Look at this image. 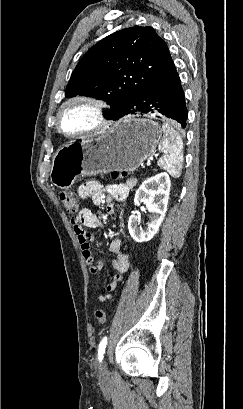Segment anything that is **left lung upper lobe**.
Returning a JSON list of instances; mask_svg holds the SVG:
<instances>
[{"instance_id":"5c2ea615","label":"left lung upper lobe","mask_w":243,"mask_h":409,"mask_svg":"<svg viewBox=\"0 0 243 409\" xmlns=\"http://www.w3.org/2000/svg\"><path fill=\"white\" fill-rule=\"evenodd\" d=\"M174 66L169 48L151 27H131L102 39L83 56L66 87L67 97L91 96L111 107L110 119Z\"/></svg>"}]
</instances>
